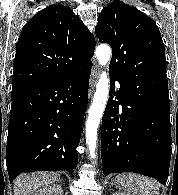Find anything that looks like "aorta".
Here are the masks:
<instances>
[{
  "mask_svg": "<svg viewBox=\"0 0 178 195\" xmlns=\"http://www.w3.org/2000/svg\"><path fill=\"white\" fill-rule=\"evenodd\" d=\"M96 57L101 66H108L111 58V49L106 44H101L96 49ZM109 95V78L106 72H102L97 84L93 101L91 103L86 121V143L90 156L96 158L97 130L105 110Z\"/></svg>",
  "mask_w": 178,
  "mask_h": 195,
  "instance_id": "762f6f07",
  "label": "aorta"
}]
</instances>
